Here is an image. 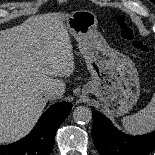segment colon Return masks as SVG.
<instances>
[{
	"mask_svg": "<svg viewBox=\"0 0 155 155\" xmlns=\"http://www.w3.org/2000/svg\"><path fill=\"white\" fill-rule=\"evenodd\" d=\"M117 25L120 29L121 37L128 41L133 48L142 53H148L150 51L149 46L143 40L136 37L134 30L128 26L127 19L124 15L117 17Z\"/></svg>",
	"mask_w": 155,
	"mask_h": 155,
	"instance_id": "5ec220e1",
	"label": "colon"
}]
</instances>
